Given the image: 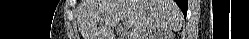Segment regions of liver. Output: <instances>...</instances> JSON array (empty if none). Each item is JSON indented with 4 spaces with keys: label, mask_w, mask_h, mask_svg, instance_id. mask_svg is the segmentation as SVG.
I'll use <instances>...</instances> for the list:
<instances>
[{
    "label": "liver",
    "mask_w": 249,
    "mask_h": 39,
    "mask_svg": "<svg viewBox=\"0 0 249 39\" xmlns=\"http://www.w3.org/2000/svg\"><path fill=\"white\" fill-rule=\"evenodd\" d=\"M79 14L83 39H116L120 20L130 30L128 39H147L152 31L179 30L183 18L173 0H84Z\"/></svg>",
    "instance_id": "6515ba94"
}]
</instances>
